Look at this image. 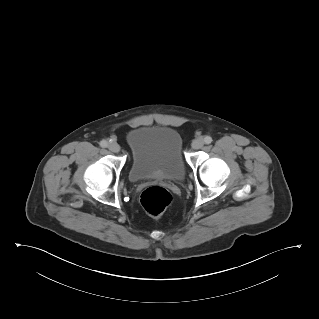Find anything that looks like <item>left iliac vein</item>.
<instances>
[{
	"instance_id": "1",
	"label": "left iliac vein",
	"mask_w": 319,
	"mask_h": 319,
	"mask_svg": "<svg viewBox=\"0 0 319 319\" xmlns=\"http://www.w3.org/2000/svg\"><path fill=\"white\" fill-rule=\"evenodd\" d=\"M203 145H204V141L201 138H196L192 142V148L195 149V150H198V149L202 148Z\"/></svg>"
}]
</instances>
